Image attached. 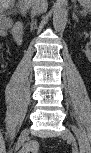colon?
<instances>
[{
    "label": "colon",
    "instance_id": "5ec220e1",
    "mask_svg": "<svg viewBox=\"0 0 91 153\" xmlns=\"http://www.w3.org/2000/svg\"><path fill=\"white\" fill-rule=\"evenodd\" d=\"M1 25L4 29H7L10 25V21L6 17L1 18ZM41 148V144L38 141L31 140L28 141L23 148L21 149V153H36L39 152Z\"/></svg>",
    "mask_w": 91,
    "mask_h": 153
}]
</instances>
